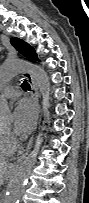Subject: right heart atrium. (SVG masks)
Here are the masks:
<instances>
[{
    "label": "right heart atrium",
    "mask_w": 89,
    "mask_h": 203,
    "mask_svg": "<svg viewBox=\"0 0 89 203\" xmlns=\"http://www.w3.org/2000/svg\"><path fill=\"white\" fill-rule=\"evenodd\" d=\"M7 141L12 147H15V145L17 143V141L11 135L7 136Z\"/></svg>",
    "instance_id": "1"
}]
</instances>
